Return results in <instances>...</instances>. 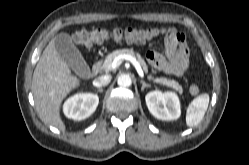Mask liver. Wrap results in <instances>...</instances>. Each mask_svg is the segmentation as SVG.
<instances>
[{
    "instance_id": "6515ba94",
    "label": "liver",
    "mask_w": 249,
    "mask_h": 165,
    "mask_svg": "<svg viewBox=\"0 0 249 165\" xmlns=\"http://www.w3.org/2000/svg\"><path fill=\"white\" fill-rule=\"evenodd\" d=\"M80 85V79L71 73L62 60L52 39L38 61L32 79L31 90L40 119L60 130L65 125L60 117V106L65 97Z\"/></svg>"
}]
</instances>
